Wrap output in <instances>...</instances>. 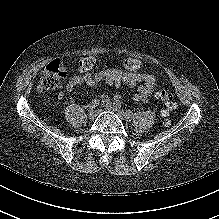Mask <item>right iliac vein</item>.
Returning a JSON list of instances; mask_svg holds the SVG:
<instances>
[{
	"mask_svg": "<svg viewBox=\"0 0 219 219\" xmlns=\"http://www.w3.org/2000/svg\"><path fill=\"white\" fill-rule=\"evenodd\" d=\"M96 115H97V111L95 109H90L88 111V116L90 119H94L96 117Z\"/></svg>",
	"mask_w": 219,
	"mask_h": 219,
	"instance_id": "right-iliac-vein-1",
	"label": "right iliac vein"
}]
</instances>
